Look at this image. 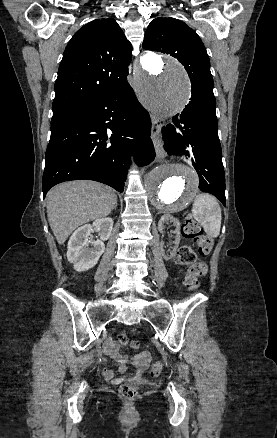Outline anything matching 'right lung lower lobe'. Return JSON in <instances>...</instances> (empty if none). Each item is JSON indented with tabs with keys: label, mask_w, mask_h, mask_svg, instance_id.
<instances>
[{
	"label": "right lung lower lobe",
	"mask_w": 277,
	"mask_h": 438,
	"mask_svg": "<svg viewBox=\"0 0 277 438\" xmlns=\"http://www.w3.org/2000/svg\"><path fill=\"white\" fill-rule=\"evenodd\" d=\"M72 69H86L74 63ZM92 70V69H89ZM150 117L129 83L81 104L51 124L42 190L77 179H90L123 192L130 155L139 165L155 157Z\"/></svg>",
	"instance_id": "right-lung-lower-lobe-1"
}]
</instances>
